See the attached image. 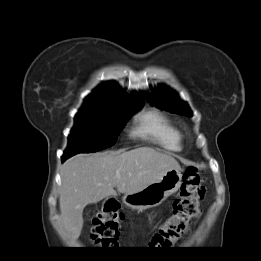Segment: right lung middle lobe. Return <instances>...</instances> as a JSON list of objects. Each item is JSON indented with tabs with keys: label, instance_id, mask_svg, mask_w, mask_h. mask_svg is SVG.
<instances>
[{
	"label": "right lung middle lobe",
	"instance_id": "obj_1",
	"mask_svg": "<svg viewBox=\"0 0 261 261\" xmlns=\"http://www.w3.org/2000/svg\"><path fill=\"white\" fill-rule=\"evenodd\" d=\"M142 105L143 101L85 100L75 117L64 155L96 152L112 146L127 119Z\"/></svg>",
	"mask_w": 261,
	"mask_h": 261
}]
</instances>
